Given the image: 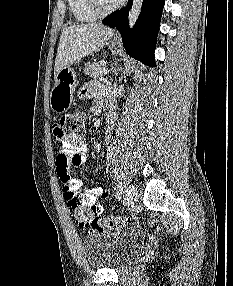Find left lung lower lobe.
<instances>
[{
	"label": "left lung lower lobe",
	"mask_w": 233,
	"mask_h": 286,
	"mask_svg": "<svg viewBox=\"0 0 233 286\" xmlns=\"http://www.w3.org/2000/svg\"><path fill=\"white\" fill-rule=\"evenodd\" d=\"M133 0L123 10L107 16L102 23L117 27L128 54L144 64L154 67V51L164 0H144L140 16L132 30L128 25L129 8Z\"/></svg>",
	"instance_id": "1"
}]
</instances>
